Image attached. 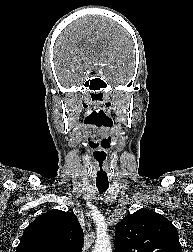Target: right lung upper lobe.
Wrapping results in <instances>:
<instances>
[{
	"label": "right lung upper lobe",
	"instance_id": "1",
	"mask_svg": "<svg viewBox=\"0 0 193 252\" xmlns=\"http://www.w3.org/2000/svg\"><path fill=\"white\" fill-rule=\"evenodd\" d=\"M83 232L73 212L52 210L24 231L16 252H82Z\"/></svg>",
	"mask_w": 193,
	"mask_h": 252
}]
</instances>
